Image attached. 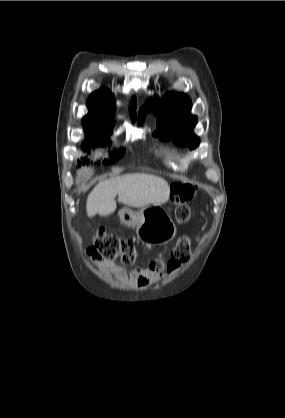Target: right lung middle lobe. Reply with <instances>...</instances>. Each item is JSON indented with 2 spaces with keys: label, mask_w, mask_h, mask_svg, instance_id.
<instances>
[{
  "label": "right lung middle lobe",
  "mask_w": 285,
  "mask_h": 418,
  "mask_svg": "<svg viewBox=\"0 0 285 418\" xmlns=\"http://www.w3.org/2000/svg\"><path fill=\"white\" fill-rule=\"evenodd\" d=\"M83 126L86 130L87 135V143L84 145L83 150L90 152L88 140H90L94 145L96 144H105L107 136L110 134L113 125H107L97 122H88L83 120ZM125 150L120 149L117 152L112 153V158L110 161L105 160L104 163H114L117 159L123 156ZM86 158L84 159V163L86 162ZM79 162V160H78ZM98 163H100L98 161Z\"/></svg>",
  "instance_id": "dd1d6c3e"
}]
</instances>
